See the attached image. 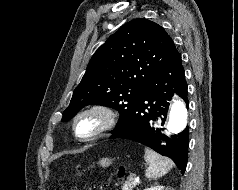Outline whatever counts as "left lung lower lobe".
<instances>
[{
	"mask_svg": "<svg viewBox=\"0 0 238 190\" xmlns=\"http://www.w3.org/2000/svg\"><path fill=\"white\" fill-rule=\"evenodd\" d=\"M177 93L188 106L187 83L177 53L149 81L129 116L111 133V138L139 142L161 155L171 158L184 173L188 158V127L177 135L167 136L163 125L168 112V101Z\"/></svg>",
	"mask_w": 238,
	"mask_h": 190,
	"instance_id": "0a47b994",
	"label": "left lung lower lobe"
}]
</instances>
